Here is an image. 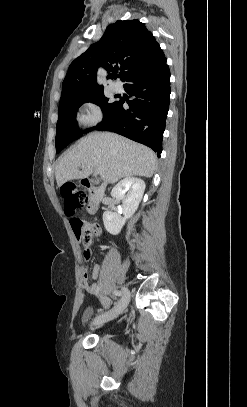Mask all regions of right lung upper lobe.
I'll return each mask as SVG.
<instances>
[{
	"instance_id": "1",
	"label": "right lung upper lobe",
	"mask_w": 247,
	"mask_h": 407,
	"mask_svg": "<svg viewBox=\"0 0 247 407\" xmlns=\"http://www.w3.org/2000/svg\"><path fill=\"white\" fill-rule=\"evenodd\" d=\"M164 58L163 50L144 23L118 20L107 27L99 42L72 62L62 84L59 105L103 91L96 82L98 67L109 72V79L120 70V79L125 81L133 72Z\"/></svg>"
}]
</instances>
